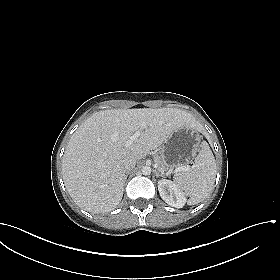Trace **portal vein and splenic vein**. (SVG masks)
<instances>
[{
  "label": "portal vein and splenic vein",
  "instance_id": "portal-vein-and-splenic-vein-1",
  "mask_svg": "<svg viewBox=\"0 0 280 280\" xmlns=\"http://www.w3.org/2000/svg\"><path fill=\"white\" fill-rule=\"evenodd\" d=\"M140 136V132H135L125 143L126 146H130L132 143H134L138 137ZM189 170V166H182V167H178L175 171H188Z\"/></svg>",
  "mask_w": 280,
  "mask_h": 280
}]
</instances>
